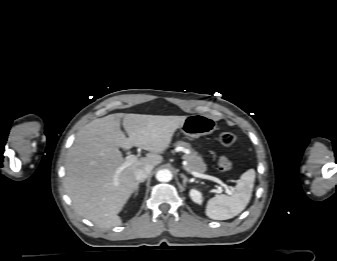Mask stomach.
Instances as JSON below:
<instances>
[{
  "instance_id": "obj_1",
  "label": "stomach",
  "mask_w": 337,
  "mask_h": 261,
  "mask_svg": "<svg viewBox=\"0 0 337 261\" xmlns=\"http://www.w3.org/2000/svg\"><path fill=\"white\" fill-rule=\"evenodd\" d=\"M215 129V120L212 117L203 114L187 116L185 121L180 126V131L192 139L209 135Z\"/></svg>"
}]
</instances>
